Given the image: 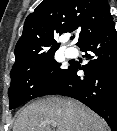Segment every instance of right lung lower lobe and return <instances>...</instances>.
Segmentation results:
<instances>
[{
  "mask_svg": "<svg viewBox=\"0 0 117 131\" xmlns=\"http://www.w3.org/2000/svg\"><path fill=\"white\" fill-rule=\"evenodd\" d=\"M89 62L71 63L60 89L53 94L75 98L103 117L113 131L117 129V31L107 32L80 46ZM83 70L84 76H77Z\"/></svg>",
  "mask_w": 117,
  "mask_h": 131,
  "instance_id": "obj_1",
  "label": "right lung lower lobe"
}]
</instances>
